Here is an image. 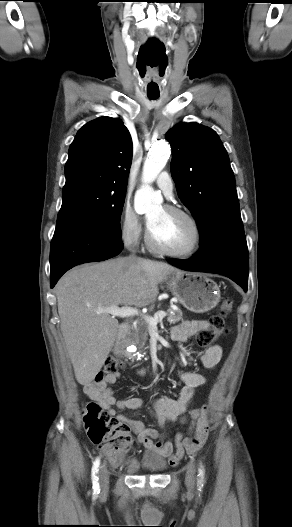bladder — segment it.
Here are the masks:
<instances>
[{
  "label": "bladder",
  "mask_w": 292,
  "mask_h": 527,
  "mask_svg": "<svg viewBox=\"0 0 292 527\" xmlns=\"http://www.w3.org/2000/svg\"><path fill=\"white\" fill-rule=\"evenodd\" d=\"M141 465L149 472L159 473L166 469L167 462L161 455L155 452H147L142 458Z\"/></svg>",
  "instance_id": "bladder-1"
}]
</instances>
